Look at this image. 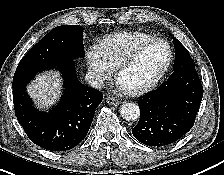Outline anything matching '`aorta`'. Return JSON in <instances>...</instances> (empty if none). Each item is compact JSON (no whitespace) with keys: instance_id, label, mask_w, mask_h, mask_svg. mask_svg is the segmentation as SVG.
Segmentation results:
<instances>
[{"instance_id":"aorta-1","label":"aorta","mask_w":224,"mask_h":175,"mask_svg":"<svg viewBox=\"0 0 224 175\" xmlns=\"http://www.w3.org/2000/svg\"><path fill=\"white\" fill-rule=\"evenodd\" d=\"M121 116L127 121H135L140 116V109L136 103L125 102L120 108Z\"/></svg>"}]
</instances>
